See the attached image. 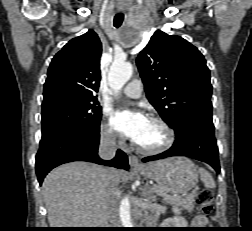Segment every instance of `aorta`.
Instances as JSON below:
<instances>
[{"label": "aorta", "instance_id": "aorta-1", "mask_svg": "<svg viewBox=\"0 0 252 231\" xmlns=\"http://www.w3.org/2000/svg\"><path fill=\"white\" fill-rule=\"evenodd\" d=\"M133 74V66L129 62L114 61L108 74V82L115 94L119 93L122 87L129 81ZM120 219L124 228H133V221L130 214L129 198L125 197L120 202Z\"/></svg>", "mask_w": 252, "mask_h": 231}]
</instances>
